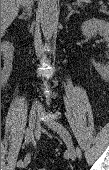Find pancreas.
Wrapping results in <instances>:
<instances>
[{"label":"pancreas","instance_id":"pancreas-1","mask_svg":"<svg viewBox=\"0 0 109 170\" xmlns=\"http://www.w3.org/2000/svg\"><path fill=\"white\" fill-rule=\"evenodd\" d=\"M102 13L108 14V9L106 7L101 8Z\"/></svg>","mask_w":109,"mask_h":170}]
</instances>
